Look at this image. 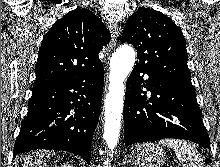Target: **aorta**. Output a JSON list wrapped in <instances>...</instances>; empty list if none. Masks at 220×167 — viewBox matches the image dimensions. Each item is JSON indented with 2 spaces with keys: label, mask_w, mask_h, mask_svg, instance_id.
<instances>
[{
  "label": "aorta",
  "mask_w": 220,
  "mask_h": 167,
  "mask_svg": "<svg viewBox=\"0 0 220 167\" xmlns=\"http://www.w3.org/2000/svg\"><path fill=\"white\" fill-rule=\"evenodd\" d=\"M136 53L127 44L120 46L110 59L109 92L105 99L104 138L110 150L118 143L124 104V81L135 64Z\"/></svg>",
  "instance_id": "762f6f07"
}]
</instances>
